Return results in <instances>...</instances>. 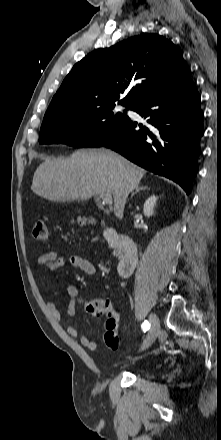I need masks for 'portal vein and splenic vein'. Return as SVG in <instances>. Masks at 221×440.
Wrapping results in <instances>:
<instances>
[{"label":"portal vein and splenic vein","mask_w":221,"mask_h":440,"mask_svg":"<svg viewBox=\"0 0 221 440\" xmlns=\"http://www.w3.org/2000/svg\"><path fill=\"white\" fill-rule=\"evenodd\" d=\"M99 197L103 200L104 203L108 205L112 204V196L110 193H100Z\"/></svg>","instance_id":"obj_1"}]
</instances>
